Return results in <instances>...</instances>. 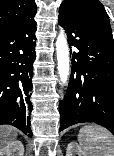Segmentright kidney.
Returning a JSON list of instances; mask_svg holds the SVG:
<instances>
[{
  "mask_svg": "<svg viewBox=\"0 0 114 156\" xmlns=\"http://www.w3.org/2000/svg\"><path fill=\"white\" fill-rule=\"evenodd\" d=\"M24 146L21 141H13L0 150V156H23Z\"/></svg>",
  "mask_w": 114,
  "mask_h": 156,
  "instance_id": "obj_1",
  "label": "right kidney"
}]
</instances>
